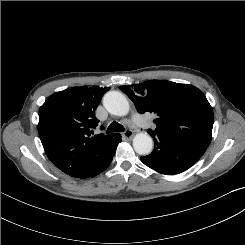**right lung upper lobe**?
I'll use <instances>...</instances> for the list:
<instances>
[{
  "label": "right lung upper lobe",
  "instance_id": "1",
  "mask_svg": "<svg viewBox=\"0 0 245 245\" xmlns=\"http://www.w3.org/2000/svg\"><path fill=\"white\" fill-rule=\"evenodd\" d=\"M109 89L68 88L49 96L39 109L37 128L45 153L67 175L95 176L112 151L117 133L92 136L99 122L95 110Z\"/></svg>",
  "mask_w": 245,
  "mask_h": 245
}]
</instances>
